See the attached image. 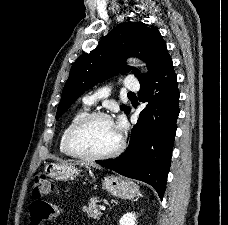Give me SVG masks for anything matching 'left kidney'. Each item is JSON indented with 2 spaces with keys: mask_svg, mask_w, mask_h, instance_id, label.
I'll list each match as a JSON object with an SVG mask.
<instances>
[{
  "mask_svg": "<svg viewBox=\"0 0 228 225\" xmlns=\"http://www.w3.org/2000/svg\"><path fill=\"white\" fill-rule=\"evenodd\" d=\"M136 219L135 213H126L121 217L119 225H136Z\"/></svg>",
  "mask_w": 228,
  "mask_h": 225,
  "instance_id": "1",
  "label": "left kidney"
}]
</instances>
